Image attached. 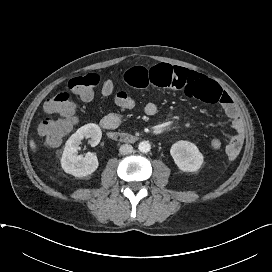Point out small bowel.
Instances as JSON below:
<instances>
[{"instance_id":"obj_1","label":"small bowel","mask_w":272,"mask_h":272,"mask_svg":"<svg viewBox=\"0 0 272 272\" xmlns=\"http://www.w3.org/2000/svg\"><path fill=\"white\" fill-rule=\"evenodd\" d=\"M125 80L134 88H171L182 91L189 98L219 104L235 132L226 145L225 153L231 160L239 155L245 137V125L230 95L216 82L197 72L169 64H158L150 68H131L125 73ZM144 111L146 115L154 116L158 108L154 103H148ZM121 121V113L111 112L102 118L101 125L105 129L112 130L117 128Z\"/></svg>"}]
</instances>
